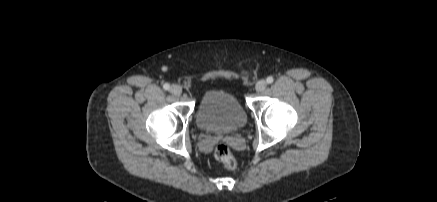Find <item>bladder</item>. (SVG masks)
Instances as JSON below:
<instances>
[{
    "mask_svg": "<svg viewBox=\"0 0 437 202\" xmlns=\"http://www.w3.org/2000/svg\"><path fill=\"white\" fill-rule=\"evenodd\" d=\"M195 121L197 127L204 132L227 134L241 129L246 124L247 115L231 92L212 89L202 96Z\"/></svg>",
    "mask_w": 437,
    "mask_h": 202,
    "instance_id": "obj_1",
    "label": "bladder"
}]
</instances>
